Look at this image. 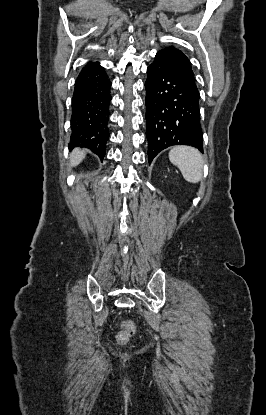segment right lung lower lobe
I'll return each instance as SVG.
<instances>
[{"label": "right lung lower lobe", "instance_id": "obj_1", "mask_svg": "<svg viewBox=\"0 0 266 415\" xmlns=\"http://www.w3.org/2000/svg\"><path fill=\"white\" fill-rule=\"evenodd\" d=\"M110 87L100 65L80 72L72 97L70 149L85 147L103 159L109 139Z\"/></svg>", "mask_w": 266, "mask_h": 415}]
</instances>
